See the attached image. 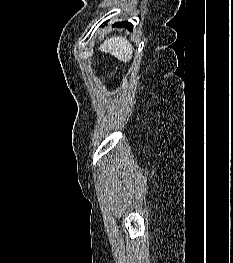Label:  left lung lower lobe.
<instances>
[{
    "label": "left lung lower lobe",
    "instance_id": "left-lung-lower-lobe-1",
    "mask_svg": "<svg viewBox=\"0 0 233 263\" xmlns=\"http://www.w3.org/2000/svg\"><path fill=\"white\" fill-rule=\"evenodd\" d=\"M114 26H118V27H126L128 28L129 30H132L133 29V25L127 21L125 22H117L114 24Z\"/></svg>",
    "mask_w": 233,
    "mask_h": 263
}]
</instances>
